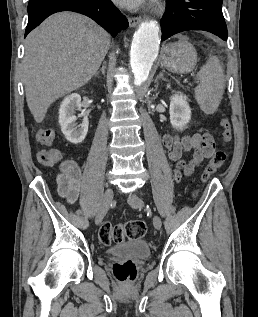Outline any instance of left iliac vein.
<instances>
[{
  "label": "left iliac vein",
  "mask_w": 258,
  "mask_h": 317,
  "mask_svg": "<svg viewBox=\"0 0 258 317\" xmlns=\"http://www.w3.org/2000/svg\"><path fill=\"white\" fill-rule=\"evenodd\" d=\"M128 203L130 206H132L133 209H141L143 206V199L139 196H136V194H131V197L128 198ZM154 226L159 230L163 223L161 222V218L159 215H154Z\"/></svg>",
  "instance_id": "1"
}]
</instances>
